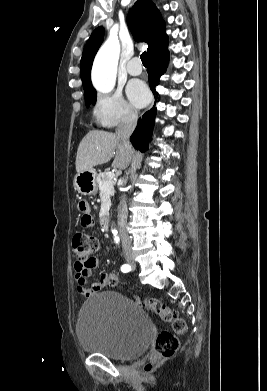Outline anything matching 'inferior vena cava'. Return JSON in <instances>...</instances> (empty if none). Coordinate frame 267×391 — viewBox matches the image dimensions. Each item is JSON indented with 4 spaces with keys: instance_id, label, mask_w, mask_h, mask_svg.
<instances>
[{
    "instance_id": "602c4592",
    "label": "inferior vena cava",
    "mask_w": 267,
    "mask_h": 391,
    "mask_svg": "<svg viewBox=\"0 0 267 391\" xmlns=\"http://www.w3.org/2000/svg\"><path fill=\"white\" fill-rule=\"evenodd\" d=\"M136 124H137V114L133 111H128L116 129V136L119 139L123 148L128 153L131 151L129 138L133 133V131L135 130ZM127 217H128V210H127L126 198L125 196H122L120 206H119L118 226H119V233L122 241V248L125 253L130 252L132 248L131 240L126 230Z\"/></svg>"
}]
</instances>
